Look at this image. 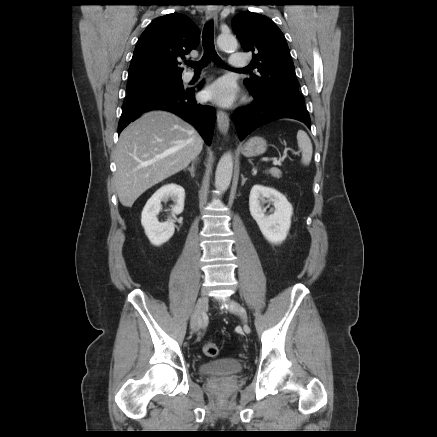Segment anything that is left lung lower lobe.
<instances>
[{
  "label": "left lung lower lobe",
  "instance_id": "1",
  "mask_svg": "<svg viewBox=\"0 0 437 437\" xmlns=\"http://www.w3.org/2000/svg\"><path fill=\"white\" fill-rule=\"evenodd\" d=\"M280 118L296 119L310 128L309 113L303 103L288 99L254 97L249 107L239 108L233 114L240 140L256 128Z\"/></svg>",
  "mask_w": 437,
  "mask_h": 437
}]
</instances>
